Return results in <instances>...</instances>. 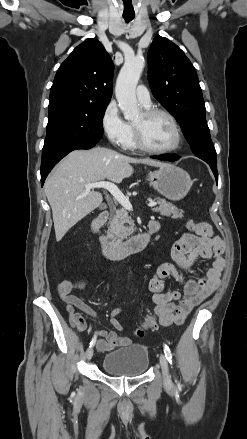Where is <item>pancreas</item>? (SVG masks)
Listing matches in <instances>:
<instances>
[{
    "mask_svg": "<svg viewBox=\"0 0 247 439\" xmlns=\"http://www.w3.org/2000/svg\"><path fill=\"white\" fill-rule=\"evenodd\" d=\"M155 200L159 206L153 208V212L173 219L183 217V210L177 209L172 203L166 202V200L161 198H156ZM135 230L133 220L128 212L125 209L117 210L110 226V232L114 234V239L120 242L130 236Z\"/></svg>",
    "mask_w": 247,
    "mask_h": 439,
    "instance_id": "pancreas-1",
    "label": "pancreas"
}]
</instances>
